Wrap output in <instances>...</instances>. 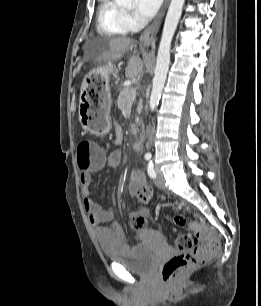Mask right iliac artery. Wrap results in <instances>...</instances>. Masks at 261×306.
<instances>
[{
  "mask_svg": "<svg viewBox=\"0 0 261 306\" xmlns=\"http://www.w3.org/2000/svg\"><path fill=\"white\" fill-rule=\"evenodd\" d=\"M145 159H146V160H150V159H151V155H146V156H145Z\"/></svg>",
  "mask_w": 261,
  "mask_h": 306,
  "instance_id": "right-iliac-artery-1",
  "label": "right iliac artery"
}]
</instances>
